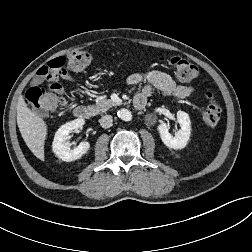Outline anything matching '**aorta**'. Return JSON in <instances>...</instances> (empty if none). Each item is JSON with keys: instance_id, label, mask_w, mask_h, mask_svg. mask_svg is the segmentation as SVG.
Masks as SVG:
<instances>
[{"instance_id": "aorta-1", "label": "aorta", "mask_w": 252, "mask_h": 252, "mask_svg": "<svg viewBox=\"0 0 252 252\" xmlns=\"http://www.w3.org/2000/svg\"><path fill=\"white\" fill-rule=\"evenodd\" d=\"M118 117L123 121H130L132 119V114L127 109H121L118 111Z\"/></svg>"}]
</instances>
